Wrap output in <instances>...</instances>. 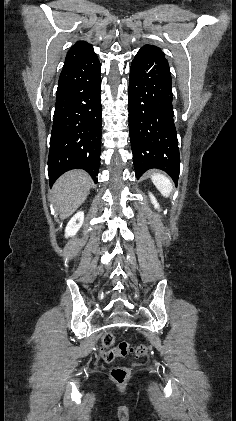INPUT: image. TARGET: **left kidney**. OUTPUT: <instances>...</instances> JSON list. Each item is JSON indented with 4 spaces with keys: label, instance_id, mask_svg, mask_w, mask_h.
Here are the masks:
<instances>
[{
    "label": "left kidney",
    "instance_id": "left-kidney-1",
    "mask_svg": "<svg viewBox=\"0 0 236 421\" xmlns=\"http://www.w3.org/2000/svg\"><path fill=\"white\" fill-rule=\"evenodd\" d=\"M149 196H150V198H151V200H152V202H153V204H154L155 208H158L159 204H158V202H157V200H156L155 196H153V194H151V192H149Z\"/></svg>",
    "mask_w": 236,
    "mask_h": 421
}]
</instances>
